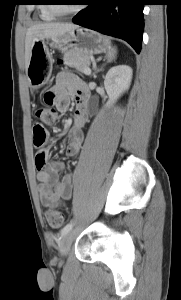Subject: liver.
<instances>
[{"label": "liver", "mask_w": 181, "mask_h": 300, "mask_svg": "<svg viewBox=\"0 0 181 300\" xmlns=\"http://www.w3.org/2000/svg\"><path fill=\"white\" fill-rule=\"evenodd\" d=\"M72 23H38L31 26L26 33L25 38V69L27 73L32 45L35 40L58 39L68 31L77 28Z\"/></svg>", "instance_id": "1"}]
</instances>
